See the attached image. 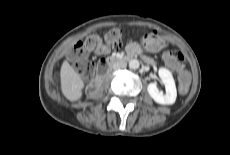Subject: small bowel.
Instances as JSON below:
<instances>
[{"mask_svg": "<svg viewBox=\"0 0 230 155\" xmlns=\"http://www.w3.org/2000/svg\"><path fill=\"white\" fill-rule=\"evenodd\" d=\"M143 47H144V49H146L149 52H157L160 50L161 46L159 44L145 38V40L143 42ZM127 50L133 51L136 53H141L142 47L138 43L133 42V43H130L128 45ZM164 59H165V62H166L168 67H170L172 69H177L175 59L170 53L165 54Z\"/></svg>", "mask_w": 230, "mask_h": 155, "instance_id": "obj_1", "label": "small bowel"}]
</instances>
